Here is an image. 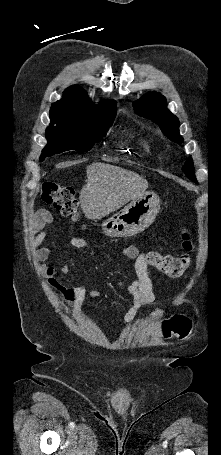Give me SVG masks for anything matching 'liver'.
Instances as JSON below:
<instances>
[{"mask_svg": "<svg viewBox=\"0 0 221 455\" xmlns=\"http://www.w3.org/2000/svg\"><path fill=\"white\" fill-rule=\"evenodd\" d=\"M86 185L81 189V209L88 219H101L140 196L148 181L118 166L93 163L87 167Z\"/></svg>", "mask_w": 221, "mask_h": 455, "instance_id": "liver-1", "label": "liver"}]
</instances>
